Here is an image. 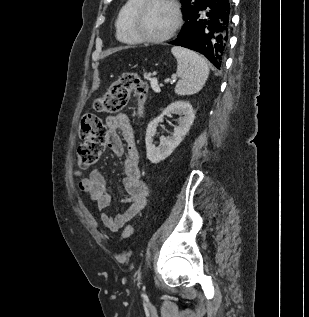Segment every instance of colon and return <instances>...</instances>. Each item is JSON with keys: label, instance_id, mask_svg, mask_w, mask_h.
<instances>
[{"label": "colon", "instance_id": "colon-1", "mask_svg": "<svg viewBox=\"0 0 309 317\" xmlns=\"http://www.w3.org/2000/svg\"><path fill=\"white\" fill-rule=\"evenodd\" d=\"M147 84L133 72L124 73L111 84L107 92L99 97L94 107L100 112L115 113L123 109L133 92L138 99V114L141 116L147 98ZM82 143L77 149L78 166L81 170L94 165L105 148L107 130L102 119L94 114H87L81 120ZM133 234L131 225H127L123 235L130 238Z\"/></svg>", "mask_w": 309, "mask_h": 317}]
</instances>
